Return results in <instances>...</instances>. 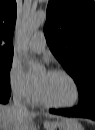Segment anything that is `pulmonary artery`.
I'll return each instance as SVG.
<instances>
[{"instance_id":"e3ab8cb5","label":"pulmonary artery","mask_w":95,"mask_h":130,"mask_svg":"<svg viewBox=\"0 0 95 130\" xmlns=\"http://www.w3.org/2000/svg\"><path fill=\"white\" fill-rule=\"evenodd\" d=\"M29 48L36 53H41L45 51L46 39L42 32H37L33 35L31 40L29 41Z\"/></svg>"}]
</instances>
